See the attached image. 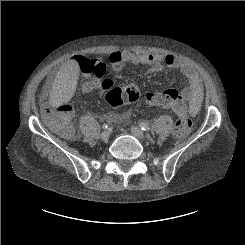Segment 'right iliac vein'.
Here are the masks:
<instances>
[{
    "label": "right iliac vein",
    "instance_id": "right-iliac-vein-1",
    "mask_svg": "<svg viewBox=\"0 0 245 245\" xmlns=\"http://www.w3.org/2000/svg\"><path fill=\"white\" fill-rule=\"evenodd\" d=\"M101 139L106 141L110 138V132L109 131H103L100 135Z\"/></svg>",
    "mask_w": 245,
    "mask_h": 245
}]
</instances>
